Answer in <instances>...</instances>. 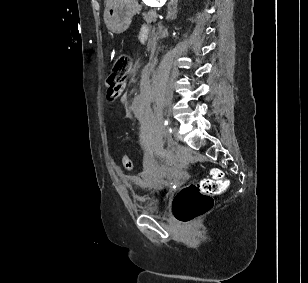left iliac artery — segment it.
Wrapping results in <instances>:
<instances>
[{"label": "left iliac artery", "instance_id": "1", "mask_svg": "<svg viewBox=\"0 0 308 283\" xmlns=\"http://www.w3.org/2000/svg\"><path fill=\"white\" fill-rule=\"evenodd\" d=\"M170 125H171L170 121L168 119H166L165 122H164V127H165L167 133L172 132Z\"/></svg>", "mask_w": 308, "mask_h": 283}]
</instances>
